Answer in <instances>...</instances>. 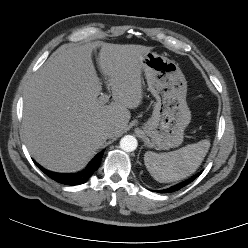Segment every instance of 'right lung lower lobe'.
<instances>
[{
  "label": "right lung lower lobe",
  "mask_w": 248,
  "mask_h": 248,
  "mask_svg": "<svg viewBox=\"0 0 248 248\" xmlns=\"http://www.w3.org/2000/svg\"><path fill=\"white\" fill-rule=\"evenodd\" d=\"M103 152H100L97 154L92 161L88 164L86 169L82 172L75 173V174H63V173H56L48 171L44 168H42L40 165L35 163L38 168H40L47 176H49L51 179L55 180L58 183L65 184V185H79L84 182H86L92 174L99 168Z\"/></svg>",
  "instance_id": "1"
}]
</instances>
